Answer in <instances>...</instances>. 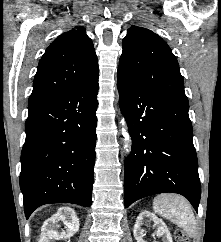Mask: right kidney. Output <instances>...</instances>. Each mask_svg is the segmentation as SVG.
Listing matches in <instances>:
<instances>
[{
    "mask_svg": "<svg viewBox=\"0 0 221 242\" xmlns=\"http://www.w3.org/2000/svg\"><path fill=\"white\" fill-rule=\"evenodd\" d=\"M60 222L64 224V230H62V232L58 231ZM78 230L79 219L74 209L63 207L44 222L41 230L40 242H54L60 239L70 240Z\"/></svg>",
    "mask_w": 221,
    "mask_h": 242,
    "instance_id": "1",
    "label": "right kidney"
}]
</instances>
